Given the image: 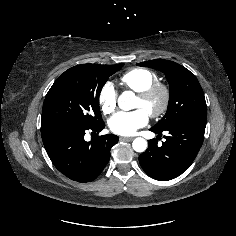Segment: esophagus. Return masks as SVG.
I'll return each mask as SVG.
<instances>
[{
	"instance_id": "1",
	"label": "esophagus",
	"mask_w": 236,
	"mask_h": 236,
	"mask_svg": "<svg viewBox=\"0 0 236 236\" xmlns=\"http://www.w3.org/2000/svg\"><path fill=\"white\" fill-rule=\"evenodd\" d=\"M134 138L133 137H120V140L123 141H132Z\"/></svg>"
}]
</instances>
